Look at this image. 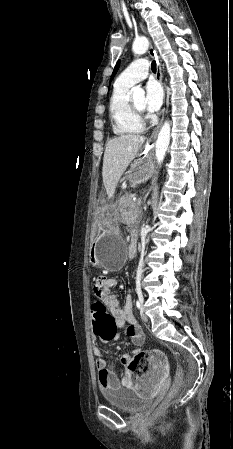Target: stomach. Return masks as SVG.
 <instances>
[{
	"mask_svg": "<svg viewBox=\"0 0 233 449\" xmlns=\"http://www.w3.org/2000/svg\"><path fill=\"white\" fill-rule=\"evenodd\" d=\"M152 173L150 162H138L132 165L125 181L135 185L145 182ZM100 210H113V201H100ZM94 220L98 221L97 238L92 241L91 258L96 267L110 271L120 270L125 261L126 244L116 231L117 212H95Z\"/></svg>",
	"mask_w": 233,
	"mask_h": 449,
	"instance_id": "obj_1",
	"label": "stomach"
}]
</instances>
